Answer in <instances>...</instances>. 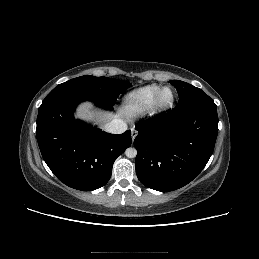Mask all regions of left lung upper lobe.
<instances>
[{"label": "left lung upper lobe", "mask_w": 259, "mask_h": 259, "mask_svg": "<svg viewBox=\"0 0 259 259\" xmlns=\"http://www.w3.org/2000/svg\"><path fill=\"white\" fill-rule=\"evenodd\" d=\"M170 83L176 87L179 95V102L177 106L191 104L215 105L212 98L205 94L201 89L189 83L180 80H172Z\"/></svg>", "instance_id": "left-lung-upper-lobe-1"}]
</instances>
